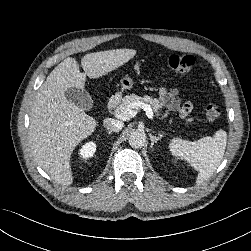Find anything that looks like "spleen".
<instances>
[{"label": "spleen", "mask_w": 251, "mask_h": 251, "mask_svg": "<svg viewBox=\"0 0 251 251\" xmlns=\"http://www.w3.org/2000/svg\"><path fill=\"white\" fill-rule=\"evenodd\" d=\"M226 141V132L218 130L214 137H204L194 142L174 138L169 144V149L173 155L187 160L199 172V184L207 180L221 163Z\"/></svg>", "instance_id": "obj_1"}]
</instances>
